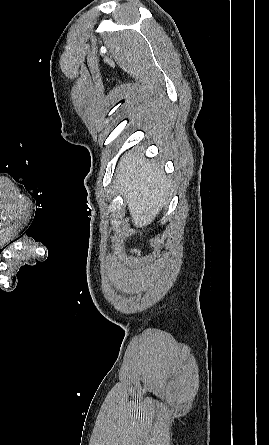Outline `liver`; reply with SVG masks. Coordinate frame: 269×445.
Listing matches in <instances>:
<instances>
[{"label":"liver","instance_id":"liver-1","mask_svg":"<svg viewBox=\"0 0 269 445\" xmlns=\"http://www.w3.org/2000/svg\"><path fill=\"white\" fill-rule=\"evenodd\" d=\"M116 178L134 226L151 224L167 203L170 181L163 168L131 150L121 158Z\"/></svg>","mask_w":269,"mask_h":445}]
</instances>
